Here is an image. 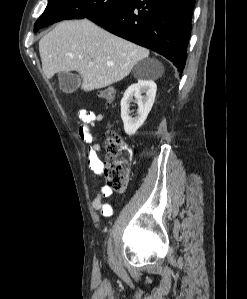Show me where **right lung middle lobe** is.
<instances>
[{"instance_id": "obj_1", "label": "right lung middle lobe", "mask_w": 247, "mask_h": 299, "mask_svg": "<svg viewBox=\"0 0 247 299\" xmlns=\"http://www.w3.org/2000/svg\"><path fill=\"white\" fill-rule=\"evenodd\" d=\"M127 0H49L48 5L34 26L40 28L64 19L91 18L108 12Z\"/></svg>"}]
</instances>
